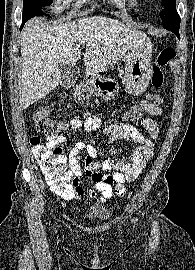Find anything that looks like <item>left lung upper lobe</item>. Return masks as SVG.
Listing matches in <instances>:
<instances>
[{"instance_id": "left-lung-upper-lobe-1", "label": "left lung upper lobe", "mask_w": 195, "mask_h": 270, "mask_svg": "<svg viewBox=\"0 0 195 270\" xmlns=\"http://www.w3.org/2000/svg\"><path fill=\"white\" fill-rule=\"evenodd\" d=\"M164 9L160 13L165 29L172 32H179L180 17L176 11L175 0H162Z\"/></svg>"}]
</instances>
